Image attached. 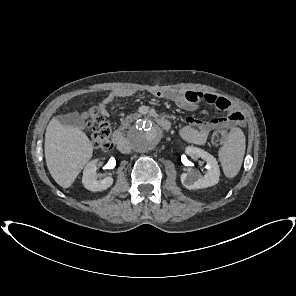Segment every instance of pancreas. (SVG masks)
Returning a JSON list of instances; mask_svg holds the SVG:
<instances>
[{
    "instance_id": "cf45deb5",
    "label": "pancreas",
    "mask_w": 296,
    "mask_h": 296,
    "mask_svg": "<svg viewBox=\"0 0 296 296\" xmlns=\"http://www.w3.org/2000/svg\"><path fill=\"white\" fill-rule=\"evenodd\" d=\"M132 119V116H127L121 120V129L124 130L129 127V122Z\"/></svg>"
}]
</instances>
